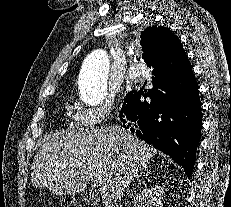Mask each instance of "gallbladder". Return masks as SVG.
<instances>
[{"label": "gallbladder", "instance_id": "gallbladder-1", "mask_svg": "<svg viewBox=\"0 0 231 207\" xmlns=\"http://www.w3.org/2000/svg\"><path fill=\"white\" fill-rule=\"evenodd\" d=\"M83 198H84L85 202H87L90 205H97L98 202H99L98 198L95 195L91 194V193L84 194Z\"/></svg>", "mask_w": 231, "mask_h": 207}]
</instances>
